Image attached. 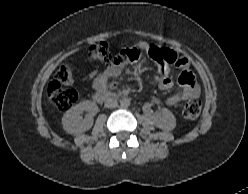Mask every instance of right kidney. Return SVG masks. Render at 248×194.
<instances>
[{"label":"right kidney","instance_id":"right-kidney-1","mask_svg":"<svg viewBox=\"0 0 248 194\" xmlns=\"http://www.w3.org/2000/svg\"><path fill=\"white\" fill-rule=\"evenodd\" d=\"M86 111L87 114L83 119L81 114ZM98 106L89 100L80 102L79 104L71 107L65 112L62 117L63 129L72 135H78L80 133L89 130L94 123L93 117L98 113Z\"/></svg>","mask_w":248,"mask_h":194}]
</instances>
